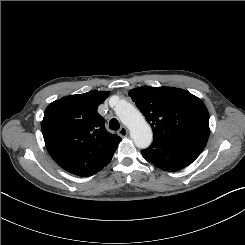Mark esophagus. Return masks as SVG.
I'll return each instance as SVG.
<instances>
[{
    "label": "esophagus",
    "instance_id": "34e87169",
    "mask_svg": "<svg viewBox=\"0 0 245 245\" xmlns=\"http://www.w3.org/2000/svg\"><path fill=\"white\" fill-rule=\"evenodd\" d=\"M118 134L123 138L126 137L128 135V129L124 126H122L119 131Z\"/></svg>",
    "mask_w": 245,
    "mask_h": 245
}]
</instances>
